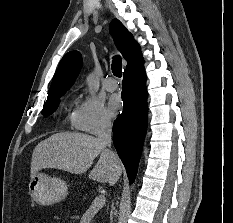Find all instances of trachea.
<instances>
[{
    "label": "trachea",
    "mask_w": 233,
    "mask_h": 223,
    "mask_svg": "<svg viewBox=\"0 0 233 223\" xmlns=\"http://www.w3.org/2000/svg\"><path fill=\"white\" fill-rule=\"evenodd\" d=\"M112 72L116 77H121L122 75V59L119 55L113 57Z\"/></svg>",
    "instance_id": "trachea-1"
}]
</instances>
